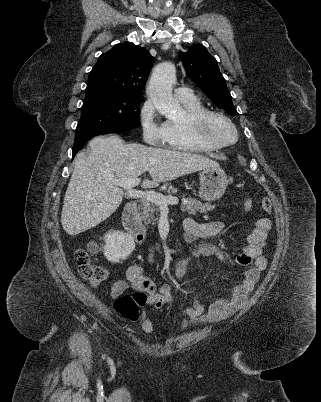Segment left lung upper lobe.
Returning a JSON list of instances; mask_svg holds the SVG:
<instances>
[{
    "label": "left lung upper lobe",
    "instance_id": "obj_1",
    "mask_svg": "<svg viewBox=\"0 0 321 402\" xmlns=\"http://www.w3.org/2000/svg\"><path fill=\"white\" fill-rule=\"evenodd\" d=\"M185 70L194 83L224 111L238 115L232 97L216 59L202 45H192L187 51L178 53Z\"/></svg>",
    "mask_w": 321,
    "mask_h": 402
}]
</instances>
